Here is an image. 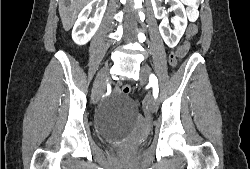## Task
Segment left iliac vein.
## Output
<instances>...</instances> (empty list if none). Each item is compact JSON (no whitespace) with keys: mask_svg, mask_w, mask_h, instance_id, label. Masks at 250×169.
Segmentation results:
<instances>
[{"mask_svg":"<svg viewBox=\"0 0 250 169\" xmlns=\"http://www.w3.org/2000/svg\"><path fill=\"white\" fill-rule=\"evenodd\" d=\"M140 72H141L140 82L142 84H145L147 79H148V76L150 75V68L148 66H143L141 68ZM146 105L151 111H156V109H157L156 98H154L153 96H148L147 101H146Z\"/></svg>","mask_w":250,"mask_h":169,"instance_id":"left-iliac-vein-1","label":"left iliac vein"}]
</instances>
